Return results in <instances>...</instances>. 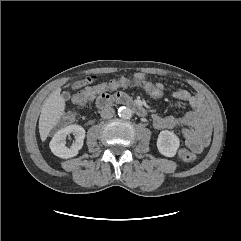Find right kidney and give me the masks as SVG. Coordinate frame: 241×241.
<instances>
[{"mask_svg":"<svg viewBox=\"0 0 241 241\" xmlns=\"http://www.w3.org/2000/svg\"><path fill=\"white\" fill-rule=\"evenodd\" d=\"M70 134L75 135V141L71 147L66 146V137ZM85 130L83 127L73 124L59 130L50 141V149L57 157L68 159L76 156L83 146Z\"/></svg>","mask_w":241,"mask_h":241,"instance_id":"1","label":"right kidney"}]
</instances>
